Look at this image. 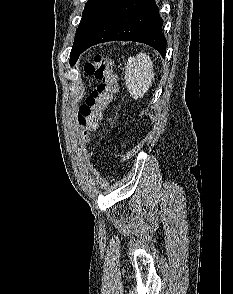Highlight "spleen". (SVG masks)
Returning a JSON list of instances; mask_svg holds the SVG:
<instances>
[{
  "label": "spleen",
  "instance_id": "1",
  "mask_svg": "<svg viewBox=\"0 0 233 294\" xmlns=\"http://www.w3.org/2000/svg\"><path fill=\"white\" fill-rule=\"evenodd\" d=\"M153 62L144 52L135 57H129L125 68L126 86L130 95L135 99L144 96L154 80Z\"/></svg>",
  "mask_w": 233,
  "mask_h": 294
}]
</instances>
